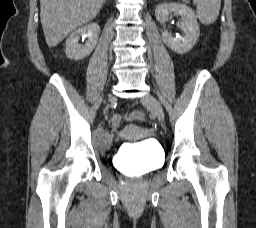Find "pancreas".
Segmentation results:
<instances>
[{"mask_svg": "<svg viewBox=\"0 0 256 228\" xmlns=\"http://www.w3.org/2000/svg\"><path fill=\"white\" fill-rule=\"evenodd\" d=\"M185 2H188L189 0H184Z\"/></svg>", "mask_w": 256, "mask_h": 228, "instance_id": "obj_1", "label": "pancreas"}]
</instances>
